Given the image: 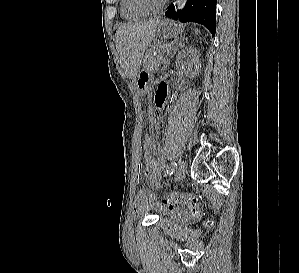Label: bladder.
<instances>
[{
	"mask_svg": "<svg viewBox=\"0 0 299 273\" xmlns=\"http://www.w3.org/2000/svg\"><path fill=\"white\" fill-rule=\"evenodd\" d=\"M148 205H151V204H147L146 206H148ZM146 206H145V207H146ZM177 220H178V218H175V217H174V218H169V219H168V223H169V224H174Z\"/></svg>",
	"mask_w": 299,
	"mask_h": 273,
	"instance_id": "31cf9c89",
	"label": "bladder"
}]
</instances>
